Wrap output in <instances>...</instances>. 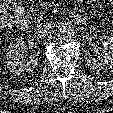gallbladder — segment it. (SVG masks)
<instances>
[{"instance_id": "gallbladder-1", "label": "gallbladder", "mask_w": 113, "mask_h": 113, "mask_svg": "<svg viewBox=\"0 0 113 113\" xmlns=\"http://www.w3.org/2000/svg\"><path fill=\"white\" fill-rule=\"evenodd\" d=\"M2 0H0V11H3L4 10V6L3 4L1 3Z\"/></svg>"}]
</instances>
